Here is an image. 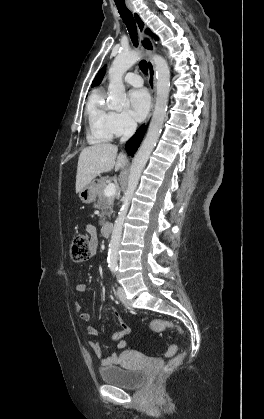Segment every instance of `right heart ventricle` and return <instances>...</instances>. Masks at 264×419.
<instances>
[{"instance_id": "obj_1", "label": "right heart ventricle", "mask_w": 264, "mask_h": 419, "mask_svg": "<svg viewBox=\"0 0 264 419\" xmlns=\"http://www.w3.org/2000/svg\"><path fill=\"white\" fill-rule=\"evenodd\" d=\"M112 111L105 102L102 89L94 90L86 107L87 140L91 144L103 143L111 140L113 134L110 127Z\"/></svg>"}]
</instances>
